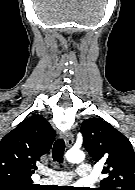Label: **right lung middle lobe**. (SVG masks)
Returning a JSON list of instances; mask_svg holds the SVG:
<instances>
[{"label": "right lung middle lobe", "instance_id": "1", "mask_svg": "<svg viewBox=\"0 0 135 190\" xmlns=\"http://www.w3.org/2000/svg\"><path fill=\"white\" fill-rule=\"evenodd\" d=\"M37 188L30 185L0 184V190H36Z\"/></svg>", "mask_w": 135, "mask_h": 190}]
</instances>
